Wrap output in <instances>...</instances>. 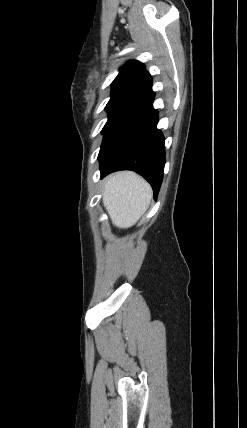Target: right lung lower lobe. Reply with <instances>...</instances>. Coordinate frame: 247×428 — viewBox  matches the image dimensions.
Instances as JSON below:
<instances>
[{"instance_id": "1", "label": "right lung lower lobe", "mask_w": 247, "mask_h": 428, "mask_svg": "<svg viewBox=\"0 0 247 428\" xmlns=\"http://www.w3.org/2000/svg\"><path fill=\"white\" fill-rule=\"evenodd\" d=\"M148 89L132 101L103 132L99 152L101 178L118 170H132L152 186L157 198L164 172V137L156 128L158 112Z\"/></svg>"}]
</instances>
